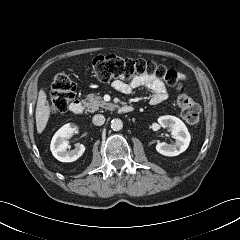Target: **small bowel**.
<instances>
[{
	"mask_svg": "<svg viewBox=\"0 0 240 240\" xmlns=\"http://www.w3.org/2000/svg\"><path fill=\"white\" fill-rule=\"evenodd\" d=\"M180 79H185V75L179 73ZM113 89L123 94H131L135 89L142 88L151 92L150 103L157 105L165 101L168 97L164 83L155 76H138L129 82L115 80L112 83Z\"/></svg>",
	"mask_w": 240,
	"mask_h": 240,
	"instance_id": "obj_1",
	"label": "small bowel"
}]
</instances>
